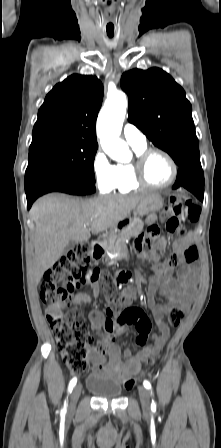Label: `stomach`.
<instances>
[{"instance_id": "0dacf381", "label": "stomach", "mask_w": 221, "mask_h": 448, "mask_svg": "<svg viewBox=\"0 0 221 448\" xmlns=\"http://www.w3.org/2000/svg\"><path fill=\"white\" fill-rule=\"evenodd\" d=\"M164 204V199L159 194H151L146 200L141 202L136 209V215L143 216L153 214L159 211ZM133 220L131 218H125L120 221L112 230L111 236L117 234L121 230L128 227Z\"/></svg>"}]
</instances>
